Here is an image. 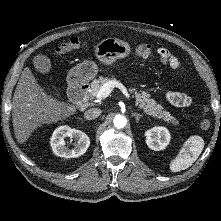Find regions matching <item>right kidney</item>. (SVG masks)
I'll return each instance as SVG.
<instances>
[{
    "mask_svg": "<svg viewBox=\"0 0 221 221\" xmlns=\"http://www.w3.org/2000/svg\"><path fill=\"white\" fill-rule=\"evenodd\" d=\"M66 138L75 139L76 142L73 148L66 146ZM50 144L56 156L76 158L87 151L90 145V139L80 130L71 129L69 126H60L54 130L50 138Z\"/></svg>",
    "mask_w": 221,
    "mask_h": 221,
    "instance_id": "ca27d5eb",
    "label": "right kidney"
}]
</instances>
